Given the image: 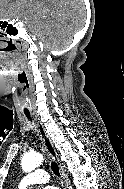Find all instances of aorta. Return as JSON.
<instances>
[{
    "label": "aorta",
    "mask_w": 124,
    "mask_h": 189,
    "mask_svg": "<svg viewBox=\"0 0 124 189\" xmlns=\"http://www.w3.org/2000/svg\"><path fill=\"white\" fill-rule=\"evenodd\" d=\"M43 161V156L40 153H26L22 157L21 167L24 172L35 170Z\"/></svg>",
    "instance_id": "aorta-1"
}]
</instances>
